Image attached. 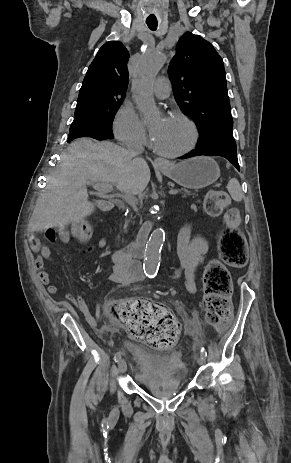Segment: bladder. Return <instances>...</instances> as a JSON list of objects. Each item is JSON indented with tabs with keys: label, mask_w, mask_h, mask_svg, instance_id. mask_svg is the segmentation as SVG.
I'll return each instance as SVG.
<instances>
[{
	"label": "bladder",
	"mask_w": 291,
	"mask_h": 463,
	"mask_svg": "<svg viewBox=\"0 0 291 463\" xmlns=\"http://www.w3.org/2000/svg\"><path fill=\"white\" fill-rule=\"evenodd\" d=\"M126 350L131 355L137 369V380L146 388H160L173 386L181 388L185 385V380L181 375L175 374L168 376L161 369L170 358L158 359L152 356L151 351L143 345L128 343Z\"/></svg>",
	"instance_id": "obj_1"
}]
</instances>
